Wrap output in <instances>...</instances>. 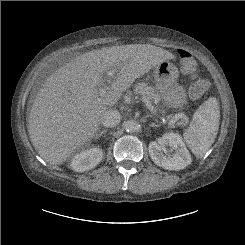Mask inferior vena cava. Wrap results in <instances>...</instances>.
Listing matches in <instances>:
<instances>
[{
  "label": "inferior vena cava",
  "mask_w": 245,
  "mask_h": 245,
  "mask_svg": "<svg viewBox=\"0 0 245 245\" xmlns=\"http://www.w3.org/2000/svg\"><path fill=\"white\" fill-rule=\"evenodd\" d=\"M121 114L119 113L118 110H107L102 119L101 122L103 124V126L107 127V128H112L117 126L120 121H121Z\"/></svg>",
  "instance_id": "1"
}]
</instances>
